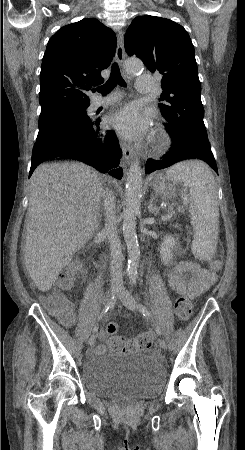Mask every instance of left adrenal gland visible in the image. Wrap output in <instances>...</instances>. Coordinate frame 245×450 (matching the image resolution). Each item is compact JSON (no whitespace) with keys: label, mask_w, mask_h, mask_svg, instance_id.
Wrapping results in <instances>:
<instances>
[{"label":"left adrenal gland","mask_w":245,"mask_h":450,"mask_svg":"<svg viewBox=\"0 0 245 450\" xmlns=\"http://www.w3.org/2000/svg\"><path fill=\"white\" fill-rule=\"evenodd\" d=\"M154 200H155V197H154V195L152 194V195H151V198H150L148 210H149L150 213L156 215L157 212H158V207L156 206Z\"/></svg>","instance_id":"obj_1"}]
</instances>
